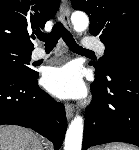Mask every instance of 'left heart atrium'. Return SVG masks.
<instances>
[{
    "instance_id": "1",
    "label": "left heart atrium",
    "mask_w": 139,
    "mask_h": 150,
    "mask_svg": "<svg viewBox=\"0 0 139 150\" xmlns=\"http://www.w3.org/2000/svg\"><path fill=\"white\" fill-rule=\"evenodd\" d=\"M43 85L51 94L62 99L79 98L85 93L80 70L71 64L48 69L43 76Z\"/></svg>"
}]
</instances>
